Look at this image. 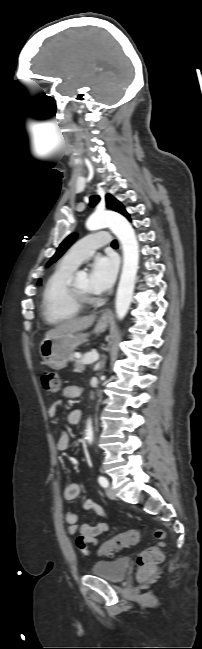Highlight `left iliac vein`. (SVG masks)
Masks as SVG:
<instances>
[{"mask_svg":"<svg viewBox=\"0 0 202 649\" xmlns=\"http://www.w3.org/2000/svg\"><path fill=\"white\" fill-rule=\"evenodd\" d=\"M106 495L112 500L116 498L115 492L110 487L106 488Z\"/></svg>","mask_w":202,"mask_h":649,"instance_id":"4c4485c4","label":"left iliac vein"}]
</instances>
